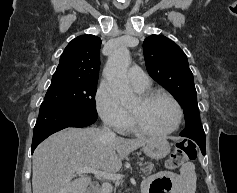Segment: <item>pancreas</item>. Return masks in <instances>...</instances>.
Segmentation results:
<instances>
[{
	"mask_svg": "<svg viewBox=\"0 0 237 193\" xmlns=\"http://www.w3.org/2000/svg\"><path fill=\"white\" fill-rule=\"evenodd\" d=\"M156 169L154 167V164L151 162H147L144 164V167L142 168V171L146 176L150 175L152 172H154Z\"/></svg>",
	"mask_w": 237,
	"mask_h": 193,
	"instance_id": "1",
	"label": "pancreas"
}]
</instances>
